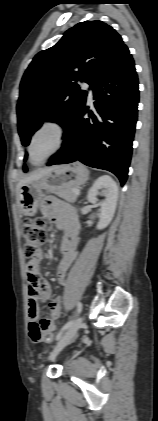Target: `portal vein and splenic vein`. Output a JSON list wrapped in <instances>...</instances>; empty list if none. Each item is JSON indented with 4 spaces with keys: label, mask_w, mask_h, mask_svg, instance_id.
<instances>
[{
    "label": "portal vein and splenic vein",
    "mask_w": 158,
    "mask_h": 421,
    "mask_svg": "<svg viewBox=\"0 0 158 421\" xmlns=\"http://www.w3.org/2000/svg\"><path fill=\"white\" fill-rule=\"evenodd\" d=\"M74 194H75V195H79V194H80V191H79L78 189H75V190H74Z\"/></svg>",
    "instance_id": "portal-vein-and-splenic-vein-1"
}]
</instances>
